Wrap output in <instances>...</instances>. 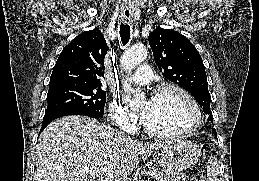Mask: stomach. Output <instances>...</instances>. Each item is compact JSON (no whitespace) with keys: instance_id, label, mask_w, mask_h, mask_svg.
I'll use <instances>...</instances> for the list:
<instances>
[{"instance_id":"1","label":"stomach","mask_w":259,"mask_h":181,"mask_svg":"<svg viewBox=\"0 0 259 181\" xmlns=\"http://www.w3.org/2000/svg\"><path fill=\"white\" fill-rule=\"evenodd\" d=\"M201 150L197 144L188 140L167 141L159 153V162L170 170H187L199 159Z\"/></svg>"}]
</instances>
